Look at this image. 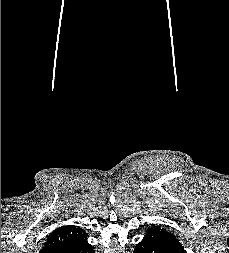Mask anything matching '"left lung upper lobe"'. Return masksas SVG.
<instances>
[{"label":"left lung upper lobe","mask_w":229,"mask_h":253,"mask_svg":"<svg viewBox=\"0 0 229 253\" xmlns=\"http://www.w3.org/2000/svg\"><path fill=\"white\" fill-rule=\"evenodd\" d=\"M144 239L170 240L179 242L173 233L166 231V229H163L160 226L148 228Z\"/></svg>","instance_id":"1"}]
</instances>
